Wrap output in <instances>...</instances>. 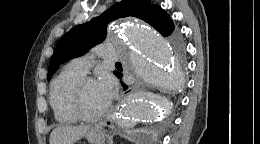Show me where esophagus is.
I'll return each mask as SVG.
<instances>
[{
    "mask_svg": "<svg viewBox=\"0 0 260 144\" xmlns=\"http://www.w3.org/2000/svg\"><path fill=\"white\" fill-rule=\"evenodd\" d=\"M134 90V87H129L125 92L122 93L121 97L130 94Z\"/></svg>",
    "mask_w": 260,
    "mask_h": 144,
    "instance_id": "34e87169",
    "label": "esophagus"
}]
</instances>
